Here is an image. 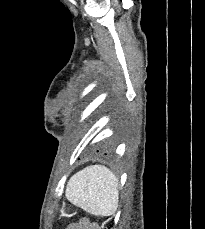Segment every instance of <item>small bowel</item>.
I'll list each match as a JSON object with an SVG mask.
<instances>
[{
    "instance_id": "obj_1",
    "label": "small bowel",
    "mask_w": 205,
    "mask_h": 229,
    "mask_svg": "<svg viewBox=\"0 0 205 229\" xmlns=\"http://www.w3.org/2000/svg\"><path fill=\"white\" fill-rule=\"evenodd\" d=\"M70 229H97V227L92 225L88 221H82L78 224L73 225Z\"/></svg>"
}]
</instances>
